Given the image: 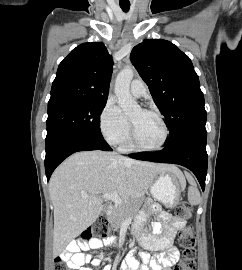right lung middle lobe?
<instances>
[{
	"label": "right lung middle lobe",
	"mask_w": 242,
	"mask_h": 270,
	"mask_svg": "<svg viewBox=\"0 0 242 270\" xmlns=\"http://www.w3.org/2000/svg\"><path fill=\"white\" fill-rule=\"evenodd\" d=\"M106 101L62 102L48 105L46 143L64 134L103 138L100 114Z\"/></svg>",
	"instance_id": "obj_1"
}]
</instances>
